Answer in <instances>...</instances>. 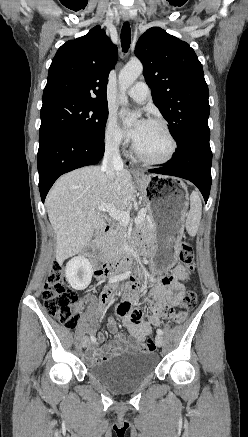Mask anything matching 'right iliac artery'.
<instances>
[{
	"mask_svg": "<svg viewBox=\"0 0 248 437\" xmlns=\"http://www.w3.org/2000/svg\"><path fill=\"white\" fill-rule=\"evenodd\" d=\"M129 275H130V272H125V273H123L121 275H118V276L110 278L109 282L113 283V282H116V281H120V280L126 279ZM91 341L95 342L96 338L94 336H91Z\"/></svg>",
	"mask_w": 248,
	"mask_h": 437,
	"instance_id": "1",
	"label": "right iliac artery"
}]
</instances>
